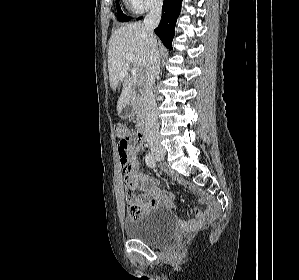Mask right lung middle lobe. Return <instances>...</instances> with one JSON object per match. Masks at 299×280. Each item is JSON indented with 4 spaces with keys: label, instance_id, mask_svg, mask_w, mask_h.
Returning <instances> with one entry per match:
<instances>
[{
    "label": "right lung middle lobe",
    "instance_id": "right-lung-middle-lobe-1",
    "mask_svg": "<svg viewBox=\"0 0 299 280\" xmlns=\"http://www.w3.org/2000/svg\"><path fill=\"white\" fill-rule=\"evenodd\" d=\"M116 6H117V11H118V21L120 22H126L129 21L131 18L128 16H125L123 14V12L121 11L120 7H119V2L118 0H116Z\"/></svg>",
    "mask_w": 299,
    "mask_h": 280
}]
</instances>
